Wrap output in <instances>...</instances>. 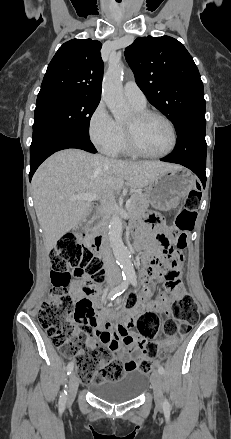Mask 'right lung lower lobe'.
<instances>
[{
	"mask_svg": "<svg viewBox=\"0 0 231 439\" xmlns=\"http://www.w3.org/2000/svg\"><path fill=\"white\" fill-rule=\"evenodd\" d=\"M68 148L82 149L90 153L97 152L89 137L83 136L77 132L71 130H60L50 133L36 144H31L29 173L30 181L38 166L46 158L59 150Z\"/></svg>",
	"mask_w": 231,
	"mask_h": 439,
	"instance_id": "right-lung-lower-lobe-1",
	"label": "right lung lower lobe"
}]
</instances>
